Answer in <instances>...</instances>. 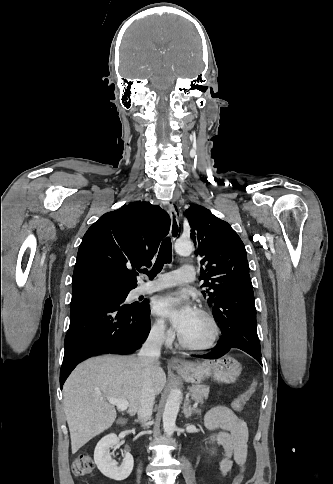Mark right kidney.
I'll return each instance as SVG.
<instances>
[{
	"label": "right kidney",
	"mask_w": 333,
	"mask_h": 484,
	"mask_svg": "<svg viewBox=\"0 0 333 484\" xmlns=\"http://www.w3.org/2000/svg\"><path fill=\"white\" fill-rule=\"evenodd\" d=\"M115 446H119L117 435L111 433L103 437L95 447L94 461L103 475L116 481H122L131 474L134 460L133 456L127 452L121 465L117 466L110 454V449Z\"/></svg>",
	"instance_id": "ca27d5eb"
}]
</instances>
